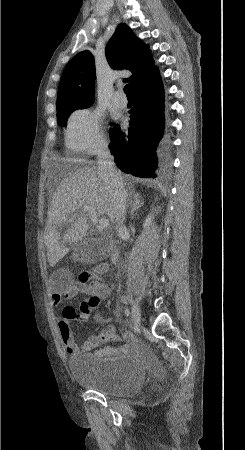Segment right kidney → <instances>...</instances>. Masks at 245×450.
<instances>
[{"label": "right kidney", "instance_id": "1", "mask_svg": "<svg viewBox=\"0 0 245 450\" xmlns=\"http://www.w3.org/2000/svg\"><path fill=\"white\" fill-rule=\"evenodd\" d=\"M153 216L150 215L146 218L145 222H144V228H147L150 226L151 222H152Z\"/></svg>", "mask_w": 245, "mask_h": 450}]
</instances>
